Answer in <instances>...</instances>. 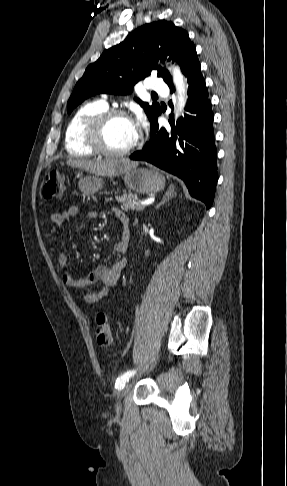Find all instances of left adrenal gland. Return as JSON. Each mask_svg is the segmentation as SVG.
<instances>
[{
  "label": "left adrenal gland",
  "instance_id": "left-adrenal-gland-1",
  "mask_svg": "<svg viewBox=\"0 0 287 486\" xmlns=\"http://www.w3.org/2000/svg\"><path fill=\"white\" fill-rule=\"evenodd\" d=\"M175 195H176V193L174 192V185H170L168 191L163 196L162 201L159 204L156 205L155 209H158L160 206L164 205L167 201H169Z\"/></svg>",
  "mask_w": 287,
  "mask_h": 486
}]
</instances>
